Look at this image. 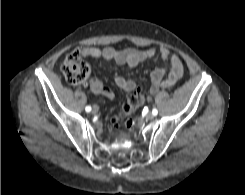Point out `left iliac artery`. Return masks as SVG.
<instances>
[{"mask_svg": "<svg viewBox=\"0 0 245 195\" xmlns=\"http://www.w3.org/2000/svg\"><path fill=\"white\" fill-rule=\"evenodd\" d=\"M152 114H153L154 116H156V115L158 114V111H157L156 108H154V109L152 110Z\"/></svg>", "mask_w": 245, "mask_h": 195, "instance_id": "left-iliac-artery-1", "label": "left iliac artery"}]
</instances>
